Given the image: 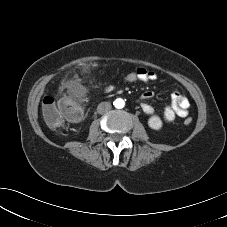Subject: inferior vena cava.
<instances>
[{
    "label": "inferior vena cava",
    "mask_w": 227,
    "mask_h": 227,
    "mask_svg": "<svg viewBox=\"0 0 227 227\" xmlns=\"http://www.w3.org/2000/svg\"><path fill=\"white\" fill-rule=\"evenodd\" d=\"M112 108V105L110 102H101L97 107V112L99 114H104L108 111H110Z\"/></svg>",
    "instance_id": "1"
}]
</instances>
